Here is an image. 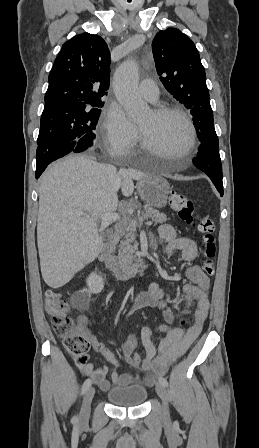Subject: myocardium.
I'll return each mask as SVG.
<instances>
[{
  "instance_id": "1",
  "label": "myocardium",
  "mask_w": 259,
  "mask_h": 448,
  "mask_svg": "<svg viewBox=\"0 0 259 448\" xmlns=\"http://www.w3.org/2000/svg\"><path fill=\"white\" fill-rule=\"evenodd\" d=\"M152 112L155 116L160 117L166 114H175L179 116L186 124L188 129V139L186 143L183 145V147L180 149V157L184 161H190L193 155V148L196 142V129L193 124V121L189 117V115L181 108L176 105H170V104H159L155 105L152 109ZM140 138H141V145L143 150L150 153H156L158 149L154 147L144 136L141 129L138 128Z\"/></svg>"
}]
</instances>
